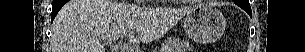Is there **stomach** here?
Returning a JSON list of instances; mask_svg holds the SVG:
<instances>
[{"label":"stomach","mask_w":305,"mask_h":52,"mask_svg":"<svg viewBox=\"0 0 305 52\" xmlns=\"http://www.w3.org/2000/svg\"><path fill=\"white\" fill-rule=\"evenodd\" d=\"M226 19L223 14L209 5H198L184 16V30L196 42L212 43L224 32Z\"/></svg>","instance_id":"stomach-1"}]
</instances>
